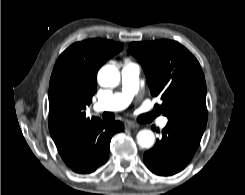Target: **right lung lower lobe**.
<instances>
[{
    "label": "right lung lower lobe",
    "instance_id": "right-lung-lower-lobe-1",
    "mask_svg": "<svg viewBox=\"0 0 245 195\" xmlns=\"http://www.w3.org/2000/svg\"><path fill=\"white\" fill-rule=\"evenodd\" d=\"M124 129L120 121L100 122L92 131L90 145L83 160L75 166H69L81 174L94 172L100 165L105 164L112 136Z\"/></svg>",
    "mask_w": 245,
    "mask_h": 195
}]
</instances>
